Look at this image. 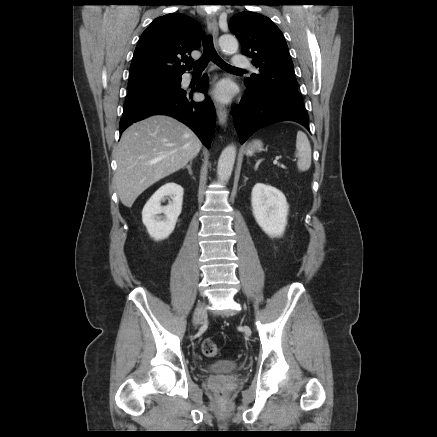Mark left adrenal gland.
I'll return each instance as SVG.
<instances>
[{"mask_svg":"<svg viewBox=\"0 0 437 437\" xmlns=\"http://www.w3.org/2000/svg\"><path fill=\"white\" fill-rule=\"evenodd\" d=\"M247 180H248V178L244 176V183H246Z\"/></svg>","mask_w":437,"mask_h":437,"instance_id":"left-adrenal-gland-1","label":"left adrenal gland"}]
</instances>
